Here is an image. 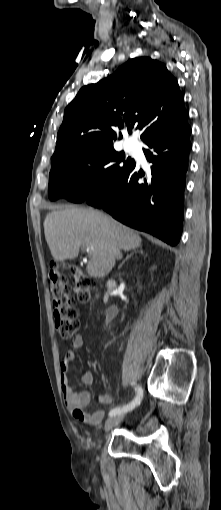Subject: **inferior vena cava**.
I'll return each mask as SVG.
<instances>
[{"label": "inferior vena cava", "instance_id": "obj_1", "mask_svg": "<svg viewBox=\"0 0 221 510\" xmlns=\"http://www.w3.org/2000/svg\"><path fill=\"white\" fill-rule=\"evenodd\" d=\"M112 253H113L115 258H120L121 257L120 248H118V247H114L113 250H112Z\"/></svg>", "mask_w": 221, "mask_h": 510}]
</instances>
